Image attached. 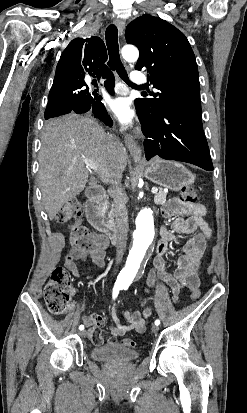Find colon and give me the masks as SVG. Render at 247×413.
<instances>
[{
    "mask_svg": "<svg viewBox=\"0 0 247 413\" xmlns=\"http://www.w3.org/2000/svg\"><path fill=\"white\" fill-rule=\"evenodd\" d=\"M178 198L186 206H191L195 200V194L193 190L186 188L181 190ZM80 219L81 203L76 200L64 205L57 215V221L62 224L72 220L78 221L75 226L70 227L72 242L76 248L90 250L91 248L102 247L103 238L82 224ZM200 295L201 292L192 293L191 298L196 300ZM43 296L48 310L53 314H62L72 310L71 273L69 269L57 268L53 271L51 278L43 289ZM123 344L130 347L134 345V342L131 339H124Z\"/></svg>",
    "mask_w": 247,
    "mask_h": 413,
    "instance_id": "1",
    "label": "colon"
}]
</instances>
